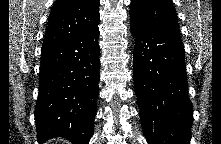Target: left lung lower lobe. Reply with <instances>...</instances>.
<instances>
[{
  "label": "left lung lower lobe",
  "instance_id": "1",
  "mask_svg": "<svg viewBox=\"0 0 221 144\" xmlns=\"http://www.w3.org/2000/svg\"><path fill=\"white\" fill-rule=\"evenodd\" d=\"M130 28L135 94L148 144H190L193 109L182 40L131 21Z\"/></svg>",
  "mask_w": 221,
  "mask_h": 144
}]
</instances>
